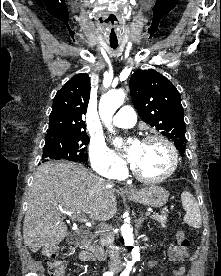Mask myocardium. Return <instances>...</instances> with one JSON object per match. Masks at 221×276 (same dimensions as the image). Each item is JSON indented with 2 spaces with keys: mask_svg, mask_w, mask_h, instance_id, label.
<instances>
[{
  "mask_svg": "<svg viewBox=\"0 0 221 276\" xmlns=\"http://www.w3.org/2000/svg\"><path fill=\"white\" fill-rule=\"evenodd\" d=\"M152 140H159L167 147V149L170 153L171 162H170V166H169L168 170L158 176H146V175L142 174L135 167L134 164H132L131 170H132L133 175L138 180H140L142 182H146V183H157V182L164 181L167 178L171 177L175 173V171L178 167V163H179L178 151H177L175 145L173 144V142L168 137H166L162 134H157V133L149 134L142 139V142H148V141H152Z\"/></svg>",
  "mask_w": 221,
  "mask_h": 276,
  "instance_id": "f54148a6",
  "label": "myocardium"
}]
</instances>
